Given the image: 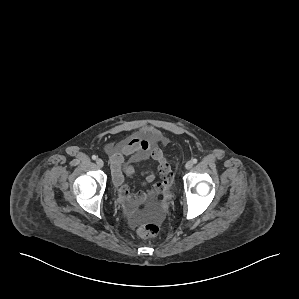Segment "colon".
I'll return each instance as SVG.
<instances>
[{
    "label": "colon",
    "instance_id": "1",
    "mask_svg": "<svg viewBox=\"0 0 299 299\" xmlns=\"http://www.w3.org/2000/svg\"><path fill=\"white\" fill-rule=\"evenodd\" d=\"M159 233V226L155 223H148L139 229L140 236L144 238L154 237Z\"/></svg>",
    "mask_w": 299,
    "mask_h": 299
}]
</instances>
